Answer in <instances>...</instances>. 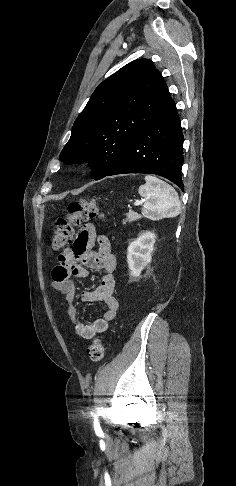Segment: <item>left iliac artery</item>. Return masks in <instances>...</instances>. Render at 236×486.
Listing matches in <instances>:
<instances>
[{"label": "left iliac artery", "instance_id": "44dca946", "mask_svg": "<svg viewBox=\"0 0 236 486\" xmlns=\"http://www.w3.org/2000/svg\"><path fill=\"white\" fill-rule=\"evenodd\" d=\"M93 423H94V429H95L96 433L101 432L100 424H99V421H98L96 416L94 417Z\"/></svg>", "mask_w": 236, "mask_h": 486}]
</instances>
